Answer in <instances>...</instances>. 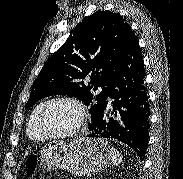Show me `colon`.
I'll return each instance as SVG.
<instances>
[{
	"label": "colon",
	"instance_id": "colon-1",
	"mask_svg": "<svg viewBox=\"0 0 183 179\" xmlns=\"http://www.w3.org/2000/svg\"><path fill=\"white\" fill-rule=\"evenodd\" d=\"M27 166H28V170L30 173H33L35 167H36V157L35 156H31L28 160V163H27Z\"/></svg>",
	"mask_w": 183,
	"mask_h": 179
}]
</instances>
